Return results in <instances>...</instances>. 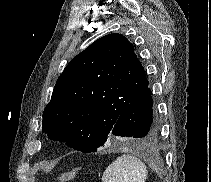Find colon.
I'll return each mask as SVG.
<instances>
[{"label": "colon", "instance_id": "1", "mask_svg": "<svg viewBox=\"0 0 211 182\" xmlns=\"http://www.w3.org/2000/svg\"><path fill=\"white\" fill-rule=\"evenodd\" d=\"M79 171H80V168H73V169L63 173L61 175V180L62 181H69V180L75 178L76 175L79 173Z\"/></svg>", "mask_w": 211, "mask_h": 182}]
</instances>
